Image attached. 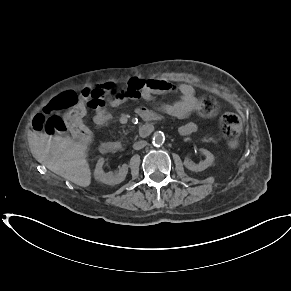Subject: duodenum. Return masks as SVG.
<instances>
[{
    "label": "duodenum",
    "mask_w": 291,
    "mask_h": 291,
    "mask_svg": "<svg viewBox=\"0 0 291 291\" xmlns=\"http://www.w3.org/2000/svg\"><path fill=\"white\" fill-rule=\"evenodd\" d=\"M148 122L142 125L139 129L140 136L146 137L153 131V122L147 120ZM119 149V145L115 142L107 141L100 145V151L103 154H111Z\"/></svg>",
    "instance_id": "obj_1"
}]
</instances>
